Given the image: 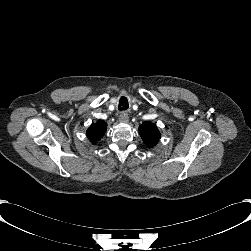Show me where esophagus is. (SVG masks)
Returning <instances> with one entry per match:
<instances>
[{"mask_svg": "<svg viewBox=\"0 0 251 251\" xmlns=\"http://www.w3.org/2000/svg\"><path fill=\"white\" fill-rule=\"evenodd\" d=\"M129 120V117L127 115V113L122 112L119 116V121L122 123H127Z\"/></svg>", "mask_w": 251, "mask_h": 251, "instance_id": "esophagus-1", "label": "esophagus"}]
</instances>
